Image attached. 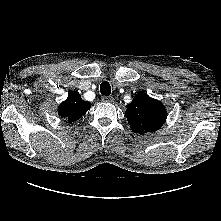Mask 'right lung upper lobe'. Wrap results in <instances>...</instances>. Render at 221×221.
Listing matches in <instances>:
<instances>
[{"label":"right lung upper lobe","instance_id":"cb5924a9","mask_svg":"<svg viewBox=\"0 0 221 221\" xmlns=\"http://www.w3.org/2000/svg\"><path fill=\"white\" fill-rule=\"evenodd\" d=\"M91 107V103L82 100L80 94L72 92L68 98L62 102L58 108L59 115L69 122H74L81 118Z\"/></svg>","mask_w":221,"mask_h":221}]
</instances>
